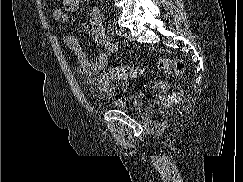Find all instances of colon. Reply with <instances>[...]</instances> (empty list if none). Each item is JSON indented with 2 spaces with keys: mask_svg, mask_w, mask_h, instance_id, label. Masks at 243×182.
Instances as JSON below:
<instances>
[{
  "mask_svg": "<svg viewBox=\"0 0 243 182\" xmlns=\"http://www.w3.org/2000/svg\"><path fill=\"white\" fill-rule=\"evenodd\" d=\"M159 68L165 73L180 74L184 70V63L177 58H161L158 62ZM143 70L138 67L122 66L110 68L106 72V77L111 80H127L143 74ZM176 94H170L166 98L167 102L175 99Z\"/></svg>",
  "mask_w": 243,
  "mask_h": 182,
  "instance_id": "obj_1",
  "label": "colon"
}]
</instances>
